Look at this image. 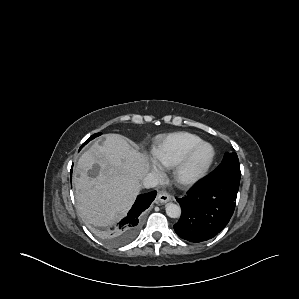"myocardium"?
Returning a JSON list of instances; mask_svg holds the SVG:
<instances>
[{"instance_id":"myocardium-1","label":"myocardium","mask_w":299,"mask_h":299,"mask_svg":"<svg viewBox=\"0 0 299 299\" xmlns=\"http://www.w3.org/2000/svg\"><path fill=\"white\" fill-rule=\"evenodd\" d=\"M211 149V156L206 164L198 170H192V164L197 153L203 148ZM216 157L214 146L208 142H200L193 147L174 170V180L180 187H191L201 181L210 171Z\"/></svg>"}]
</instances>
